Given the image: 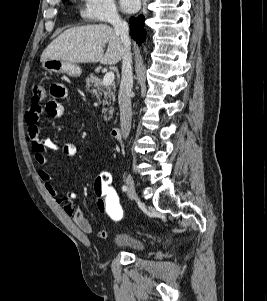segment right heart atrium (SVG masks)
<instances>
[{"label":"right heart atrium","mask_w":267,"mask_h":301,"mask_svg":"<svg viewBox=\"0 0 267 301\" xmlns=\"http://www.w3.org/2000/svg\"><path fill=\"white\" fill-rule=\"evenodd\" d=\"M82 15L87 21L112 22L120 19L114 0H83Z\"/></svg>","instance_id":"right-heart-atrium-1"}]
</instances>
